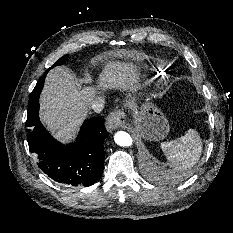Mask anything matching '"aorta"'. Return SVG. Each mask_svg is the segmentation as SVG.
I'll return each instance as SVG.
<instances>
[{
	"mask_svg": "<svg viewBox=\"0 0 233 233\" xmlns=\"http://www.w3.org/2000/svg\"><path fill=\"white\" fill-rule=\"evenodd\" d=\"M114 140L119 146L123 147H129L133 143L131 136L124 131H118L114 136Z\"/></svg>",
	"mask_w": 233,
	"mask_h": 233,
	"instance_id": "1",
	"label": "aorta"
}]
</instances>
